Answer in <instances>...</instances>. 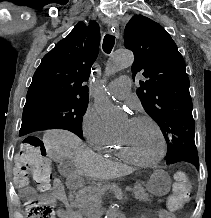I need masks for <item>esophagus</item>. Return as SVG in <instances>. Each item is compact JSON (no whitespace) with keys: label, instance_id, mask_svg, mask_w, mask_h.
<instances>
[{"label":"esophagus","instance_id":"1","mask_svg":"<svg viewBox=\"0 0 211 218\" xmlns=\"http://www.w3.org/2000/svg\"><path fill=\"white\" fill-rule=\"evenodd\" d=\"M108 31L110 33H113L116 38H119L120 36V29L118 23H111L107 25Z\"/></svg>","mask_w":211,"mask_h":218}]
</instances>
